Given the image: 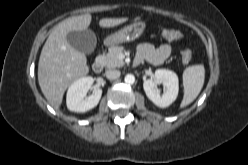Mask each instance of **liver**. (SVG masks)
<instances>
[{
    "label": "liver",
    "instance_id": "1",
    "mask_svg": "<svg viewBox=\"0 0 248 165\" xmlns=\"http://www.w3.org/2000/svg\"><path fill=\"white\" fill-rule=\"evenodd\" d=\"M91 15L70 17L60 22L47 38L39 58L38 82L49 104L58 109L68 86L87 75L89 67L84 53L74 49L67 41L70 31L86 30ZM128 18H104L99 21L103 28L124 23Z\"/></svg>",
    "mask_w": 248,
    "mask_h": 165
}]
</instances>
